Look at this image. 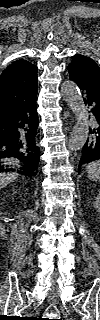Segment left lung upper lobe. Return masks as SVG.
Returning <instances> with one entry per match:
<instances>
[{
    "mask_svg": "<svg viewBox=\"0 0 100 320\" xmlns=\"http://www.w3.org/2000/svg\"><path fill=\"white\" fill-rule=\"evenodd\" d=\"M70 78L82 84L87 90L100 96V68L86 56L76 54L68 66Z\"/></svg>",
    "mask_w": 100,
    "mask_h": 320,
    "instance_id": "obj_1",
    "label": "left lung upper lobe"
}]
</instances>
